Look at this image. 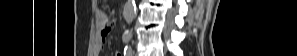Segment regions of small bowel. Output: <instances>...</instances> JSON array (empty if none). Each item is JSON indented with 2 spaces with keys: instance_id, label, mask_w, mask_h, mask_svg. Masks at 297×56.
Wrapping results in <instances>:
<instances>
[{
  "instance_id": "1",
  "label": "small bowel",
  "mask_w": 297,
  "mask_h": 56,
  "mask_svg": "<svg viewBox=\"0 0 297 56\" xmlns=\"http://www.w3.org/2000/svg\"><path fill=\"white\" fill-rule=\"evenodd\" d=\"M112 27H113V22L108 18V16L105 13L101 12L100 13V35L95 47V52L97 55L101 52L106 42V38L110 30L112 29ZM117 56H120V54H117Z\"/></svg>"
}]
</instances>
